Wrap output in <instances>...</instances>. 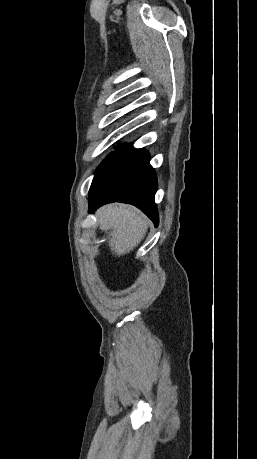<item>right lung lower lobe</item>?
<instances>
[{
  "label": "right lung lower lobe",
  "mask_w": 257,
  "mask_h": 459,
  "mask_svg": "<svg viewBox=\"0 0 257 459\" xmlns=\"http://www.w3.org/2000/svg\"><path fill=\"white\" fill-rule=\"evenodd\" d=\"M157 179L143 149L124 145L98 167L89 191V212L110 202H124L140 208L157 226L154 203Z\"/></svg>",
  "instance_id": "obj_1"
}]
</instances>
